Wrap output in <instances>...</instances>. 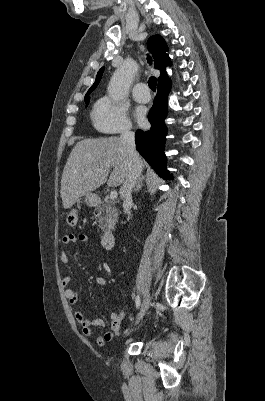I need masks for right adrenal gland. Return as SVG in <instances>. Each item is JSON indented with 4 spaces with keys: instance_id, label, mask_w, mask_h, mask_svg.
Returning <instances> with one entry per match:
<instances>
[{
    "instance_id": "2a0ac1e0",
    "label": "right adrenal gland",
    "mask_w": 265,
    "mask_h": 401,
    "mask_svg": "<svg viewBox=\"0 0 265 401\" xmlns=\"http://www.w3.org/2000/svg\"><path fill=\"white\" fill-rule=\"evenodd\" d=\"M143 178H145V176H140V178H138V182L134 188V192H139V190H141L143 186Z\"/></svg>"
}]
</instances>
